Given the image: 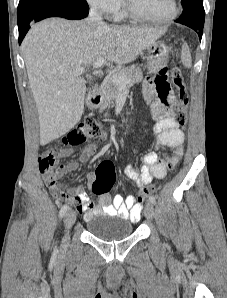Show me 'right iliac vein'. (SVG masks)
Listing matches in <instances>:
<instances>
[{"mask_svg":"<svg viewBox=\"0 0 227 298\" xmlns=\"http://www.w3.org/2000/svg\"><path fill=\"white\" fill-rule=\"evenodd\" d=\"M76 221V213L73 210H70L66 213L65 218H64V223H65V229H66V234L64 237V245L67 244L68 239H69V230L73 226V224Z\"/></svg>","mask_w":227,"mask_h":298,"instance_id":"obj_1","label":"right iliac vein"}]
</instances>
